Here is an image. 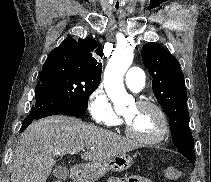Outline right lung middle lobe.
Here are the masks:
<instances>
[{
    "instance_id": "1",
    "label": "right lung middle lobe",
    "mask_w": 211,
    "mask_h": 182,
    "mask_svg": "<svg viewBox=\"0 0 211 182\" xmlns=\"http://www.w3.org/2000/svg\"><path fill=\"white\" fill-rule=\"evenodd\" d=\"M100 82L82 77L60 66L43 67L35 91L43 90L68 100L76 108L86 111L88 97Z\"/></svg>"
}]
</instances>
